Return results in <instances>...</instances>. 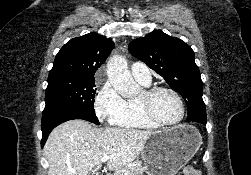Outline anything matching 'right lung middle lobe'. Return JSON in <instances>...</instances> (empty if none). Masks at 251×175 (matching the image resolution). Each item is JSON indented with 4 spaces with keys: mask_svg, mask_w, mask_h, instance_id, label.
Listing matches in <instances>:
<instances>
[{
    "mask_svg": "<svg viewBox=\"0 0 251 175\" xmlns=\"http://www.w3.org/2000/svg\"><path fill=\"white\" fill-rule=\"evenodd\" d=\"M95 83L48 78L45 107H71L94 112Z\"/></svg>",
    "mask_w": 251,
    "mask_h": 175,
    "instance_id": "dd1d6c3e",
    "label": "right lung middle lobe"
}]
</instances>
